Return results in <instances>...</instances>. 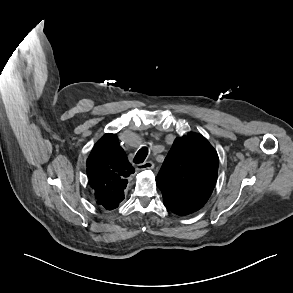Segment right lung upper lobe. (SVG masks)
<instances>
[{
  "instance_id": "right-lung-upper-lobe-1",
  "label": "right lung upper lobe",
  "mask_w": 293,
  "mask_h": 293,
  "mask_svg": "<svg viewBox=\"0 0 293 293\" xmlns=\"http://www.w3.org/2000/svg\"><path fill=\"white\" fill-rule=\"evenodd\" d=\"M134 173L115 134H105L87 159V175L97 203L115 209L124 199L127 177Z\"/></svg>"
}]
</instances>
